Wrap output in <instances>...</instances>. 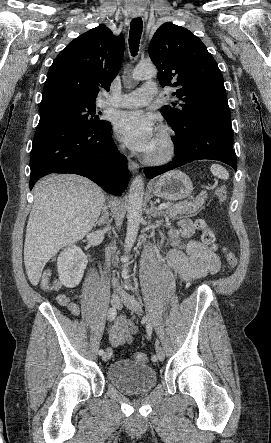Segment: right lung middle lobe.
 Instances as JSON below:
<instances>
[{
    "mask_svg": "<svg viewBox=\"0 0 271 443\" xmlns=\"http://www.w3.org/2000/svg\"><path fill=\"white\" fill-rule=\"evenodd\" d=\"M95 112V103L76 99H56L41 103L40 121L37 128L49 123L64 122L83 128L95 129L107 122L98 119Z\"/></svg>",
    "mask_w": 271,
    "mask_h": 443,
    "instance_id": "obj_1",
    "label": "right lung middle lobe"
}]
</instances>
